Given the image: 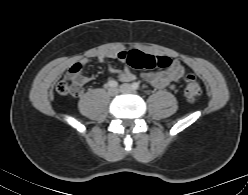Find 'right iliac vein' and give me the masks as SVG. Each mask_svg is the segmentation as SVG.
Wrapping results in <instances>:
<instances>
[{"mask_svg": "<svg viewBox=\"0 0 248 195\" xmlns=\"http://www.w3.org/2000/svg\"><path fill=\"white\" fill-rule=\"evenodd\" d=\"M110 96H116L119 93V90L116 87H111L108 89Z\"/></svg>", "mask_w": 248, "mask_h": 195, "instance_id": "obj_1", "label": "right iliac vein"}]
</instances>
